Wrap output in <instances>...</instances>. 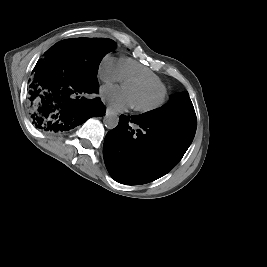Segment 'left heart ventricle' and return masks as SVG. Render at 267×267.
<instances>
[{
	"label": "left heart ventricle",
	"instance_id": "obj_1",
	"mask_svg": "<svg viewBox=\"0 0 267 267\" xmlns=\"http://www.w3.org/2000/svg\"><path fill=\"white\" fill-rule=\"evenodd\" d=\"M125 87L132 96L133 104L144 106L157 100L159 92L151 86L137 82H127Z\"/></svg>",
	"mask_w": 267,
	"mask_h": 267
}]
</instances>
